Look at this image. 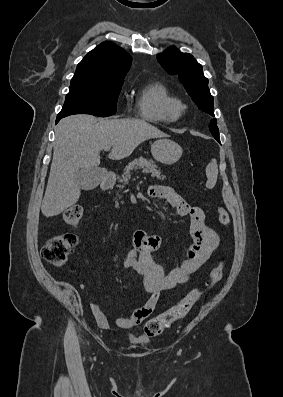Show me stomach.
Segmentation results:
<instances>
[{
    "mask_svg": "<svg viewBox=\"0 0 283 397\" xmlns=\"http://www.w3.org/2000/svg\"><path fill=\"white\" fill-rule=\"evenodd\" d=\"M151 153L155 160L165 165H171L181 158L183 149L173 140L159 139L152 144Z\"/></svg>",
    "mask_w": 283,
    "mask_h": 397,
    "instance_id": "1",
    "label": "stomach"
}]
</instances>
